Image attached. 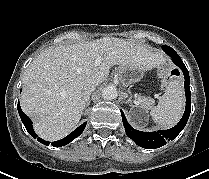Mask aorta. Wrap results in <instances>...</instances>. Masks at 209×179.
<instances>
[{
  "instance_id": "obj_1",
  "label": "aorta",
  "mask_w": 209,
  "mask_h": 179,
  "mask_svg": "<svg viewBox=\"0 0 209 179\" xmlns=\"http://www.w3.org/2000/svg\"><path fill=\"white\" fill-rule=\"evenodd\" d=\"M102 97L105 100H113L117 98V89L114 86H107L102 91Z\"/></svg>"
}]
</instances>
